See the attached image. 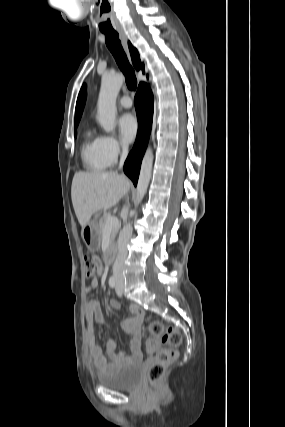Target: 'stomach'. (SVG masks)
Returning <instances> with one entry per match:
<instances>
[{
	"instance_id": "0dacf381",
	"label": "stomach",
	"mask_w": 285,
	"mask_h": 427,
	"mask_svg": "<svg viewBox=\"0 0 285 427\" xmlns=\"http://www.w3.org/2000/svg\"><path fill=\"white\" fill-rule=\"evenodd\" d=\"M81 234L86 246L90 250H97L100 247L101 234L98 230L97 215H95L93 221L82 228Z\"/></svg>"
}]
</instances>
